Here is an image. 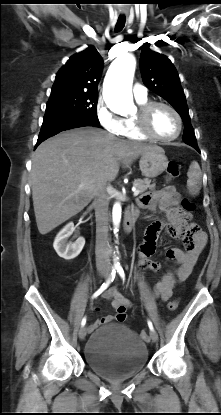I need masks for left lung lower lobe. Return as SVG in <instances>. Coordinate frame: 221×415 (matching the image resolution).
<instances>
[{
    "instance_id": "1",
    "label": "left lung lower lobe",
    "mask_w": 221,
    "mask_h": 415,
    "mask_svg": "<svg viewBox=\"0 0 221 415\" xmlns=\"http://www.w3.org/2000/svg\"><path fill=\"white\" fill-rule=\"evenodd\" d=\"M186 144L194 147L197 151H199V148L197 146V141H188V142H186Z\"/></svg>"
}]
</instances>
